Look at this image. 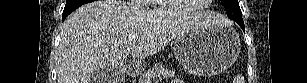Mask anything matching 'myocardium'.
<instances>
[{"mask_svg": "<svg viewBox=\"0 0 307 83\" xmlns=\"http://www.w3.org/2000/svg\"><path fill=\"white\" fill-rule=\"evenodd\" d=\"M209 2V1H207ZM167 4L171 7H173L177 13L179 14H183V15H188V14H193V13H197L200 12L201 10H203L205 8L204 4H199L189 10H181L178 6H177V0H168Z\"/></svg>", "mask_w": 307, "mask_h": 83, "instance_id": "f54148a6", "label": "myocardium"}]
</instances>
